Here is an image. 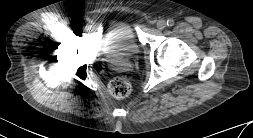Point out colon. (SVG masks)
Here are the masks:
<instances>
[{
	"mask_svg": "<svg viewBox=\"0 0 253 138\" xmlns=\"http://www.w3.org/2000/svg\"><path fill=\"white\" fill-rule=\"evenodd\" d=\"M109 91L116 98H126L131 93V84L126 78L116 76L109 83Z\"/></svg>",
	"mask_w": 253,
	"mask_h": 138,
	"instance_id": "obj_1",
	"label": "colon"
}]
</instances>
